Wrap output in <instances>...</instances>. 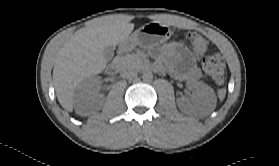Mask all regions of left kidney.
Wrapping results in <instances>:
<instances>
[{
	"label": "left kidney",
	"mask_w": 279,
	"mask_h": 166,
	"mask_svg": "<svg viewBox=\"0 0 279 166\" xmlns=\"http://www.w3.org/2000/svg\"><path fill=\"white\" fill-rule=\"evenodd\" d=\"M189 87L193 90L192 98H177L178 108L182 112H188L193 108L202 110L209 104L215 102V94L211 87L201 82H189Z\"/></svg>",
	"instance_id": "5707ae66"
}]
</instances>
